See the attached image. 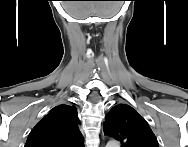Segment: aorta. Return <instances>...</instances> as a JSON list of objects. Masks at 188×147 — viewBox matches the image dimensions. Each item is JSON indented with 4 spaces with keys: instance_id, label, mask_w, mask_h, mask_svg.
I'll return each instance as SVG.
<instances>
[{
    "instance_id": "1",
    "label": "aorta",
    "mask_w": 188,
    "mask_h": 147,
    "mask_svg": "<svg viewBox=\"0 0 188 147\" xmlns=\"http://www.w3.org/2000/svg\"><path fill=\"white\" fill-rule=\"evenodd\" d=\"M119 144L116 140H111L107 143V147H118Z\"/></svg>"
}]
</instances>
